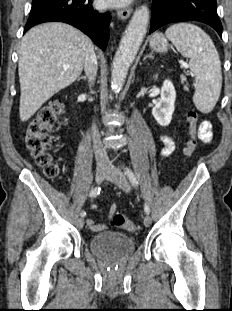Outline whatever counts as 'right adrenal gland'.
Wrapping results in <instances>:
<instances>
[{
  "instance_id": "1",
  "label": "right adrenal gland",
  "mask_w": 232,
  "mask_h": 311,
  "mask_svg": "<svg viewBox=\"0 0 232 311\" xmlns=\"http://www.w3.org/2000/svg\"><path fill=\"white\" fill-rule=\"evenodd\" d=\"M79 80H84V81H86L87 78H86V76H81V77H79Z\"/></svg>"
}]
</instances>
